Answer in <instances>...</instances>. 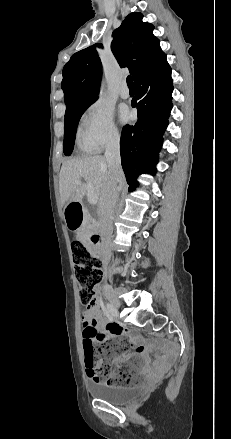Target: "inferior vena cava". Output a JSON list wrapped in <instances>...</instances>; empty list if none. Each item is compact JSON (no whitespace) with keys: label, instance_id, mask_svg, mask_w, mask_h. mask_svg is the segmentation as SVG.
Instances as JSON below:
<instances>
[{"label":"inferior vena cava","instance_id":"obj_1","mask_svg":"<svg viewBox=\"0 0 231 439\" xmlns=\"http://www.w3.org/2000/svg\"><path fill=\"white\" fill-rule=\"evenodd\" d=\"M105 158L111 173V180L109 188L101 201L100 210L101 223L105 229L106 242L108 243L113 230L112 218L118 199V183L123 175L120 158V143L118 137H114L108 142L105 150ZM102 254L105 260L109 259L110 252L107 244L102 245Z\"/></svg>","mask_w":231,"mask_h":439}]
</instances>
